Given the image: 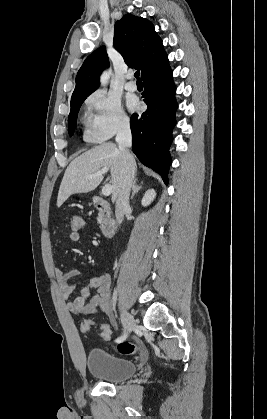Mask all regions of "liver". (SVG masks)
I'll return each instance as SVG.
<instances>
[{
  "label": "liver",
  "instance_id": "liver-1",
  "mask_svg": "<svg viewBox=\"0 0 267 419\" xmlns=\"http://www.w3.org/2000/svg\"><path fill=\"white\" fill-rule=\"evenodd\" d=\"M104 167L110 168L112 200H115L123 174L122 155L115 144L104 143L84 152L69 164L60 184L57 206L60 207L73 194L93 191L102 182L103 176H86Z\"/></svg>",
  "mask_w": 267,
  "mask_h": 419
}]
</instances>
